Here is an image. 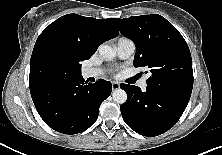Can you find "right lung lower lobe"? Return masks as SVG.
Here are the masks:
<instances>
[{
    "instance_id": "obj_1",
    "label": "right lung lower lobe",
    "mask_w": 222,
    "mask_h": 155,
    "mask_svg": "<svg viewBox=\"0 0 222 155\" xmlns=\"http://www.w3.org/2000/svg\"><path fill=\"white\" fill-rule=\"evenodd\" d=\"M111 91L110 82L98 79L94 84H86L80 75L62 79L50 89L31 93V96L40 117L49 127L72 135L94 124L101 103Z\"/></svg>"
}]
</instances>
